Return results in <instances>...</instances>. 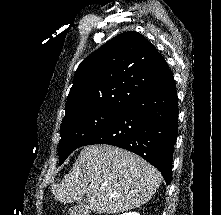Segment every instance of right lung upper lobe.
Listing matches in <instances>:
<instances>
[{
    "mask_svg": "<svg viewBox=\"0 0 221 215\" xmlns=\"http://www.w3.org/2000/svg\"><path fill=\"white\" fill-rule=\"evenodd\" d=\"M170 77L165 59L152 43L137 32H124L79 65L65 116L89 109L122 113Z\"/></svg>",
    "mask_w": 221,
    "mask_h": 215,
    "instance_id": "cb5924a9",
    "label": "right lung upper lobe"
}]
</instances>
